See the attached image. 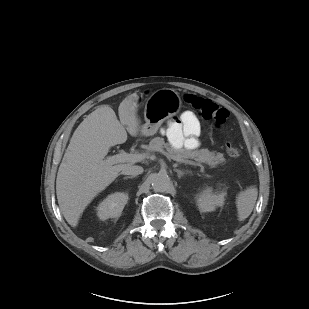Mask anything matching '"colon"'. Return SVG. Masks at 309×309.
<instances>
[{"instance_id":"colon-1","label":"colon","mask_w":309,"mask_h":309,"mask_svg":"<svg viewBox=\"0 0 309 309\" xmlns=\"http://www.w3.org/2000/svg\"><path fill=\"white\" fill-rule=\"evenodd\" d=\"M186 102L196 112V114L204 119L211 120L213 123L221 127L223 126L228 117V110L209 99H205L200 96L188 95ZM226 152L230 157H238L241 154L240 147L234 142L226 143Z\"/></svg>"}]
</instances>
